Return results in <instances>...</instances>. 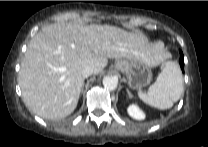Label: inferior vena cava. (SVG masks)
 <instances>
[{
  "label": "inferior vena cava",
  "instance_id": "602c4592",
  "mask_svg": "<svg viewBox=\"0 0 208 147\" xmlns=\"http://www.w3.org/2000/svg\"><path fill=\"white\" fill-rule=\"evenodd\" d=\"M81 73L84 78H87L88 76L94 74V68L92 66H85Z\"/></svg>",
  "mask_w": 208,
  "mask_h": 147
}]
</instances>
